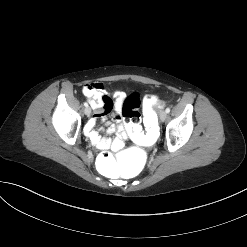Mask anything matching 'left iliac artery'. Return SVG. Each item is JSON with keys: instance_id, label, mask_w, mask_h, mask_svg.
<instances>
[{"instance_id": "1", "label": "left iliac artery", "mask_w": 247, "mask_h": 247, "mask_svg": "<svg viewBox=\"0 0 247 247\" xmlns=\"http://www.w3.org/2000/svg\"><path fill=\"white\" fill-rule=\"evenodd\" d=\"M166 113H169L170 112V108H166Z\"/></svg>"}]
</instances>
